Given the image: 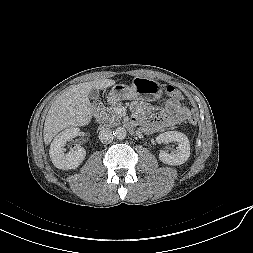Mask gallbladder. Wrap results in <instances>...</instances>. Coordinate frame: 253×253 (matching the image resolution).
I'll return each instance as SVG.
<instances>
[{
	"mask_svg": "<svg viewBox=\"0 0 253 253\" xmlns=\"http://www.w3.org/2000/svg\"><path fill=\"white\" fill-rule=\"evenodd\" d=\"M89 98L92 99V100H95L98 98L99 94H98V91L96 89H92L89 94H88Z\"/></svg>",
	"mask_w": 253,
	"mask_h": 253,
	"instance_id": "gallbladder-1",
	"label": "gallbladder"
}]
</instances>
